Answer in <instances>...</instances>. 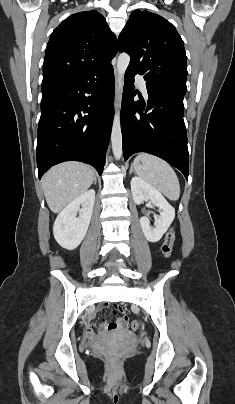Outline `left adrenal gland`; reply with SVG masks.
<instances>
[{"instance_id":"1","label":"left adrenal gland","mask_w":235,"mask_h":404,"mask_svg":"<svg viewBox=\"0 0 235 404\" xmlns=\"http://www.w3.org/2000/svg\"><path fill=\"white\" fill-rule=\"evenodd\" d=\"M132 172H133V167L131 166V167H130L129 174H131Z\"/></svg>"}]
</instances>
